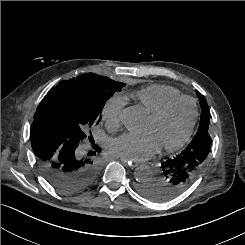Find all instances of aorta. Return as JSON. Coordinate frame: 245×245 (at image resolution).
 I'll return each mask as SVG.
<instances>
[{"label": "aorta", "mask_w": 245, "mask_h": 245, "mask_svg": "<svg viewBox=\"0 0 245 245\" xmlns=\"http://www.w3.org/2000/svg\"><path fill=\"white\" fill-rule=\"evenodd\" d=\"M121 121L131 133L139 132L144 125V114L137 106H130L123 110ZM135 178L144 183L153 178V171L147 165H141L135 170Z\"/></svg>", "instance_id": "762f6f07"}]
</instances>
